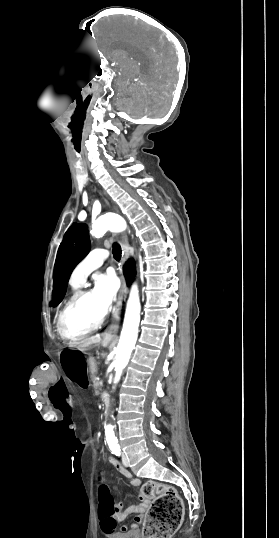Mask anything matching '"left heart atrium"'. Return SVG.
I'll list each match as a JSON object with an SVG mask.
<instances>
[{
	"label": "left heart atrium",
	"instance_id": "1",
	"mask_svg": "<svg viewBox=\"0 0 279 538\" xmlns=\"http://www.w3.org/2000/svg\"><path fill=\"white\" fill-rule=\"evenodd\" d=\"M118 288L119 279L113 270H109L104 274H99L96 277L93 292L98 297L104 313L110 309Z\"/></svg>",
	"mask_w": 279,
	"mask_h": 538
}]
</instances>
